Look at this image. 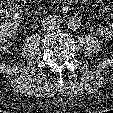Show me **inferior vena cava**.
Instances as JSON below:
<instances>
[{
	"mask_svg": "<svg viewBox=\"0 0 113 113\" xmlns=\"http://www.w3.org/2000/svg\"><path fill=\"white\" fill-rule=\"evenodd\" d=\"M62 20L57 15H49L43 20V27L47 30H55L60 27Z\"/></svg>",
	"mask_w": 113,
	"mask_h": 113,
	"instance_id": "602c4592",
	"label": "inferior vena cava"
}]
</instances>
